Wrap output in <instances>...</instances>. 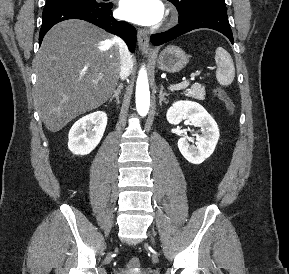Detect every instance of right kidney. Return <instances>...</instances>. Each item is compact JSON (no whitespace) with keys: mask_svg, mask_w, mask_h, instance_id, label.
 Segmentation results:
<instances>
[{"mask_svg":"<svg viewBox=\"0 0 289 274\" xmlns=\"http://www.w3.org/2000/svg\"><path fill=\"white\" fill-rule=\"evenodd\" d=\"M107 125L103 111L90 113L77 120L69 131L68 148L75 155H87L100 143Z\"/></svg>","mask_w":289,"mask_h":274,"instance_id":"right-kidney-1","label":"right kidney"}]
</instances>
